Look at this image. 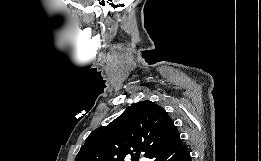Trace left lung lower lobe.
<instances>
[{
    "instance_id": "obj_1",
    "label": "left lung lower lobe",
    "mask_w": 261,
    "mask_h": 161,
    "mask_svg": "<svg viewBox=\"0 0 261 161\" xmlns=\"http://www.w3.org/2000/svg\"><path fill=\"white\" fill-rule=\"evenodd\" d=\"M152 161H191L186 145L182 144L176 130L166 144L156 148L149 157Z\"/></svg>"
}]
</instances>
